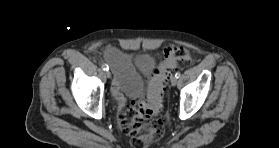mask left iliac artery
I'll return each mask as SVG.
<instances>
[{"instance_id":"44dca946","label":"left iliac artery","mask_w":279,"mask_h":148,"mask_svg":"<svg viewBox=\"0 0 279 148\" xmlns=\"http://www.w3.org/2000/svg\"><path fill=\"white\" fill-rule=\"evenodd\" d=\"M181 76L180 72H176L175 77L178 79Z\"/></svg>"}]
</instances>
